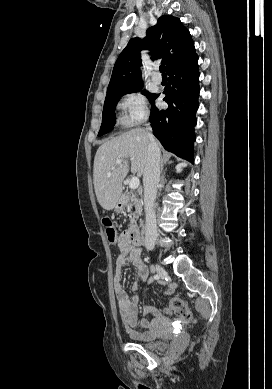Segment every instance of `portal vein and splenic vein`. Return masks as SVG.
Listing matches in <instances>:
<instances>
[{
    "label": "portal vein and splenic vein",
    "mask_w": 272,
    "mask_h": 389,
    "mask_svg": "<svg viewBox=\"0 0 272 389\" xmlns=\"http://www.w3.org/2000/svg\"><path fill=\"white\" fill-rule=\"evenodd\" d=\"M123 162V160H121V159H118V160H116V164H121ZM139 185H140V181H139V179H138V177H132L131 179H130V181H129V187H130V189H133V190H135V189H137L138 187H139Z\"/></svg>",
    "instance_id": "portal-vein-and-splenic-vein-1"
}]
</instances>
